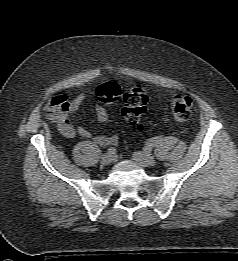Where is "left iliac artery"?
Segmentation results:
<instances>
[{"mask_svg":"<svg viewBox=\"0 0 238 261\" xmlns=\"http://www.w3.org/2000/svg\"><path fill=\"white\" fill-rule=\"evenodd\" d=\"M162 136H156L151 138L148 142H147V147L148 148H152L157 146V144H159L162 141Z\"/></svg>","mask_w":238,"mask_h":261,"instance_id":"obj_1","label":"left iliac artery"}]
</instances>
